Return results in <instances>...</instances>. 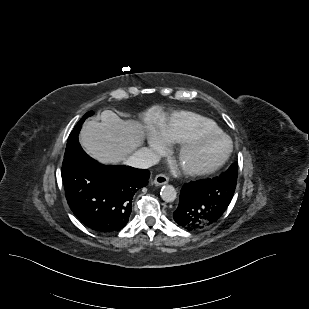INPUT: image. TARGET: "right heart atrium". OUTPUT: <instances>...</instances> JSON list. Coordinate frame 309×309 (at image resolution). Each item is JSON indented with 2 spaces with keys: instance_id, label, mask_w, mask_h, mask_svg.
Here are the masks:
<instances>
[{
  "instance_id": "d8ad5b80",
  "label": "right heart atrium",
  "mask_w": 309,
  "mask_h": 309,
  "mask_svg": "<svg viewBox=\"0 0 309 309\" xmlns=\"http://www.w3.org/2000/svg\"><path fill=\"white\" fill-rule=\"evenodd\" d=\"M148 150L151 152H156L161 148L162 142L159 136L155 133H150L147 139Z\"/></svg>"
}]
</instances>
